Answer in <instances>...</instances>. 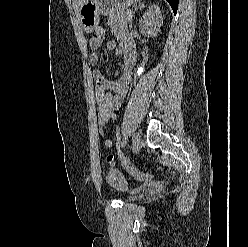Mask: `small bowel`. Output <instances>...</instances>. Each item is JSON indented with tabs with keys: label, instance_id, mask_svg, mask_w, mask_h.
Wrapping results in <instances>:
<instances>
[{
	"label": "small bowel",
	"instance_id": "small-bowel-1",
	"mask_svg": "<svg viewBox=\"0 0 248 247\" xmlns=\"http://www.w3.org/2000/svg\"><path fill=\"white\" fill-rule=\"evenodd\" d=\"M121 53L124 56L122 73L118 80L107 79L101 70L93 71V78L96 85L95 96L98 104V117L100 123V134L104 137V144L108 149L113 146L112 140L106 136V126L116 119V111L121 107L129 90L132 78V71L136 61L133 42L125 33L119 34ZM104 41L103 37H93L90 39L91 53L89 61L92 65H97L100 61V55L97 52ZM109 48L115 47L114 41H108ZM106 164L113 168L116 165V159L112 154L106 156Z\"/></svg>",
	"mask_w": 248,
	"mask_h": 247
}]
</instances>
